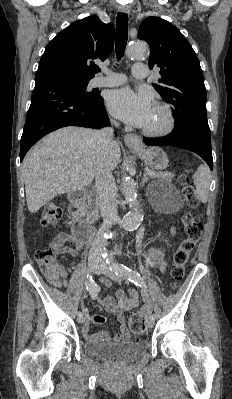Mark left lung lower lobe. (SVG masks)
I'll return each mask as SVG.
<instances>
[{
  "mask_svg": "<svg viewBox=\"0 0 232 399\" xmlns=\"http://www.w3.org/2000/svg\"><path fill=\"white\" fill-rule=\"evenodd\" d=\"M146 145L153 146H174L190 150L202 157L212 170L213 158L211 143L191 135L178 134L171 132L170 134L159 138H144Z\"/></svg>",
  "mask_w": 232,
  "mask_h": 399,
  "instance_id": "obj_1",
  "label": "left lung lower lobe"
}]
</instances>
